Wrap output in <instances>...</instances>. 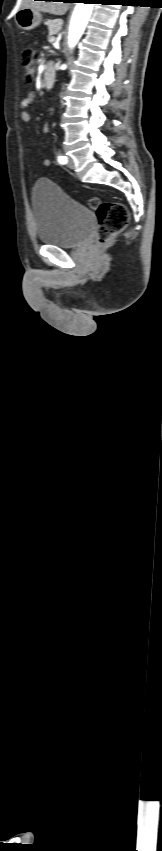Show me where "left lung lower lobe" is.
Returning <instances> with one entry per match:
<instances>
[{
	"label": "left lung lower lobe",
	"instance_id": "1",
	"mask_svg": "<svg viewBox=\"0 0 162 851\" xmlns=\"http://www.w3.org/2000/svg\"><path fill=\"white\" fill-rule=\"evenodd\" d=\"M87 1H90V2H92V3H93L95 0H87Z\"/></svg>",
	"mask_w": 162,
	"mask_h": 851
}]
</instances>
